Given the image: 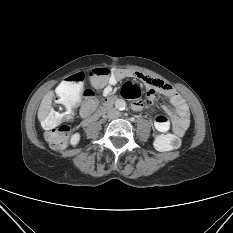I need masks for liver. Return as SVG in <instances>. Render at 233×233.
<instances>
[{
    "label": "liver",
    "instance_id": "obj_1",
    "mask_svg": "<svg viewBox=\"0 0 233 233\" xmlns=\"http://www.w3.org/2000/svg\"><path fill=\"white\" fill-rule=\"evenodd\" d=\"M53 96H54L53 91H49L44 95V97L40 103V106L38 109V114H37L40 122H42L46 118V116L48 115V113L51 109Z\"/></svg>",
    "mask_w": 233,
    "mask_h": 233
}]
</instances>
